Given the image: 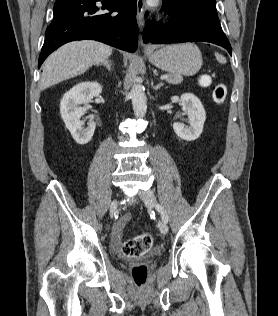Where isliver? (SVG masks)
Here are the masks:
<instances>
[{"label":"liver","mask_w":278,"mask_h":316,"mask_svg":"<svg viewBox=\"0 0 278 316\" xmlns=\"http://www.w3.org/2000/svg\"><path fill=\"white\" fill-rule=\"evenodd\" d=\"M112 48L94 40L67 43L53 52L43 65L42 90L84 73L93 65L108 59Z\"/></svg>","instance_id":"6515ba94"}]
</instances>
